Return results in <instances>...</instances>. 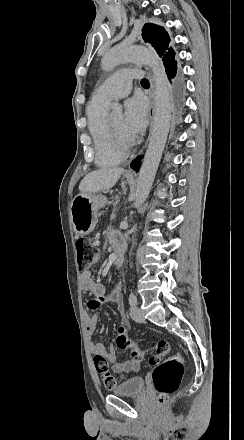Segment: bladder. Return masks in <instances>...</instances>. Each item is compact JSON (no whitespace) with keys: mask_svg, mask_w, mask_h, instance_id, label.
<instances>
[{"mask_svg":"<svg viewBox=\"0 0 244 440\" xmlns=\"http://www.w3.org/2000/svg\"><path fill=\"white\" fill-rule=\"evenodd\" d=\"M145 388V380L141 377H129L122 380L117 388L112 389V394L137 395Z\"/></svg>","mask_w":244,"mask_h":440,"instance_id":"1","label":"bladder"}]
</instances>
